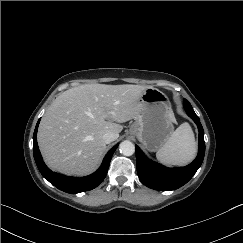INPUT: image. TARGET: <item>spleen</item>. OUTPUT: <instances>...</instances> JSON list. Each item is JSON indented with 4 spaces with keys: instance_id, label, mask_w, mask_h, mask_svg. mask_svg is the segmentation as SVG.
I'll return each instance as SVG.
<instances>
[{
    "instance_id": "obj_1",
    "label": "spleen",
    "mask_w": 243,
    "mask_h": 243,
    "mask_svg": "<svg viewBox=\"0 0 243 243\" xmlns=\"http://www.w3.org/2000/svg\"><path fill=\"white\" fill-rule=\"evenodd\" d=\"M196 151L193 131L188 123H183L158 149L156 157L164 164L185 165L194 159Z\"/></svg>"
}]
</instances>
